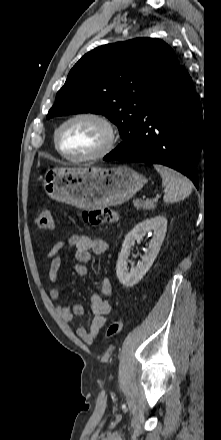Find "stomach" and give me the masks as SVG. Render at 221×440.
I'll list each match as a JSON object with an SVG mask.
<instances>
[{
  "instance_id": "obj_1",
  "label": "stomach",
  "mask_w": 221,
  "mask_h": 440,
  "mask_svg": "<svg viewBox=\"0 0 221 440\" xmlns=\"http://www.w3.org/2000/svg\"><path fill=\"white\" fill-rule=\"evenodd\" d=\"M147 181L127 166L60 167L45 173L43 187L52 199L94 210L128 201Z\"/></svg>"
}]
</instances>
